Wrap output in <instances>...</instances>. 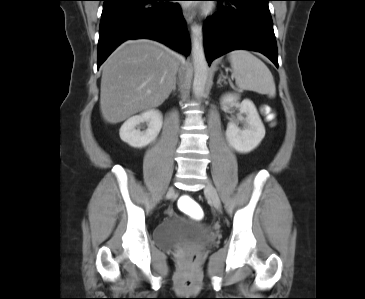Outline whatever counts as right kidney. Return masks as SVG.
I'll use <instances>...</instances> for the list:
<instances>
[{
    "mask_svg": "<svg viewBox=\"0 0 365 299\" xmlns=\"http://www.w3.org/2000/svg\"><path fill=\"white\" fill-rule=\"evenodd\" d=\"M143 122L148 123V129L141 132L136 127ZM163 124L162 114L158 110H147L140 115L129 118L120 128L122 141L134 148H143L157 138Z\"/></svg>",
    "mask_w": 365,
    "mask_h": 299,
    "instance_id": "obj_1",
    "label": "right kidney"
}]
</instances>
